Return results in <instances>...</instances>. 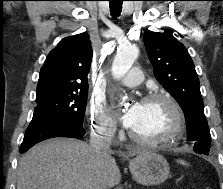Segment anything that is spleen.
<instances>
[{
    "label": "spleen",
    "instance_id": "obj_1",
    "mask_svg": "<svg viewBox=\"0 0 223 189\" xmlns=\"http://www.w3.org/2000/svg\"><path fill=\"white\" fill-rule=\"evenodd\" d=\"M178 162L182 165H187L183 160H178Z\"/></svg>",
    "mask_w": 223,
    "mask_h": 189
}]
</instances>
